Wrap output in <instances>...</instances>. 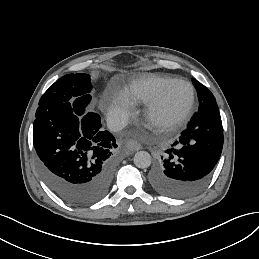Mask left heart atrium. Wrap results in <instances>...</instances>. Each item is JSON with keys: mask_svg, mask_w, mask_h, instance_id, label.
<instances>
[{"mask_svg": "<svg viewBox=\"0 0 259 259\" xmlns=\"http://www.w3.org/2000/svg\"><path fill=\"white\" fill-rule=\"evenodd\" d=\"M171 150H172L174 153H176V154H178V153L181 152V149H178L177 147L171 148Z\"/></svg>", "mask_w": 259, "mask_h": 259, "instance_id": "1", "label": "left heart atrium"}]
</instances>
